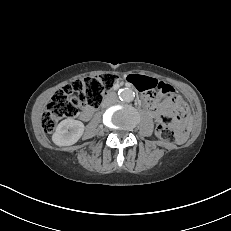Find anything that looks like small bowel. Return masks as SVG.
<instances>
[{
  "mask_svg": "<svg viewBox=\"0 0 231 231\" xmlns=\"http://www.w3.org/2000/svg\"><path fill=\"white\" fill-rule=\"evenodd\" d=\"M135 77L145 79L147 81L148 86H156L160 83L155 78L149 76H135ZM143 96L148 100L150 106L149 107L150 112L157 121H160L163 116L172 113V111L176 107L184 106V103L182 102L181 98L177 94H175L174 91L168 95L169 98L163 104H159L153 101L151 97L148 95V93L146 92L143 93Z\"/></svg>",
  "mask_w": 231,
  "mask_h": 231,
  "instance_id": "small-bowel-1",
  "label": "small bowel"
}]
</instances>
